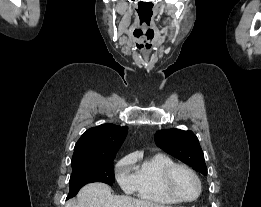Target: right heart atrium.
Here are the masks:
<instances>
[{
    "mask_svg": "<svg viewBox=\"0 0 261 207\" xmlns=\"http://www.w3.org/2000/svg\"><path fill=\"white\" fill-rule=\"evenodd\" d=\"M132 156L123 157L116 165L115 175L120 187L126 193H132L136 188V175L132 171Z\"/></svg>",
    "mask_w": 261,
    "mask_h": 207,
    "instance_id": "d8ad5b80",
    "label": "right heart atrium"
}]
</instances>
